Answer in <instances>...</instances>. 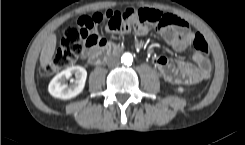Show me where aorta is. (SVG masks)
Returning <instances> with one entry per match:
<instances>
[{
	"label": "aorta",
	"mask_w": 245,
	"mask_h": 145,
	"mask_svg": "<svg viewBox=\"0 0 245 145\" xmlns=\"http://www.w3.org/2000/svg\"><path fill=\"white\" fill-rule=\"evenodd\" d=\"M121 62L125 65H131L133 62V56L130 53H124L121 56Z\"/></svg>",
	"instance_id": "1"
}]
</instances>
